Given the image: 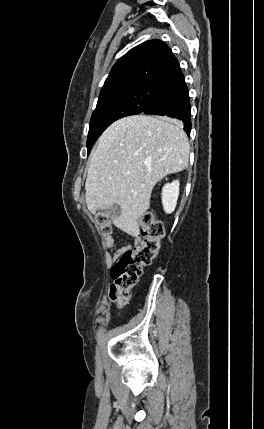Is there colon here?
I'll return each instance as SVG.
<instances>
[{"label":"colon","instance_id":"5ec220e1","mask_svg":"<svg viewBox=\"0 0 264 429\" xmlns=\"http://www.w3.org/2000/svg\"><path fill=\"white\" fill-rule=\"evenodd\" d=\"M104 215L97 217V222L103 225ZM141 241L133 249L124 251L111 268L112 283L109 288L111 300L118 306L125 305L131 296V289L136 285L143 268L150 265L156 256L164 236L162 223L150 213H145L140 219Z\"/></svg>","mask_w":264,"mask_h":429}]
</instances>
